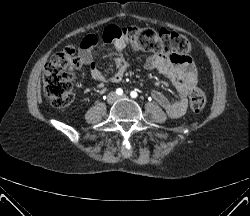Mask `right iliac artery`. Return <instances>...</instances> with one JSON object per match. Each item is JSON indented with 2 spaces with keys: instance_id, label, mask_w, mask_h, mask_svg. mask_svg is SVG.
<instances>
[{
  "instance_id": "82829eb1",
  "label": "right iliac artery",
  "mask_w": 250,
  "mask_h": 216,
  "mask_svg": "<svg viewBox=\"0 0 250 216\" xmlns=\"http://www.w3.org/2000/svg\"><path fill=\"white\" fill-rule=\"evenodd\" d=\"M116 94L122 95V94H123V90H122L121 88H118V89L116 90Z\"/></svg>"
}]
</instances>
